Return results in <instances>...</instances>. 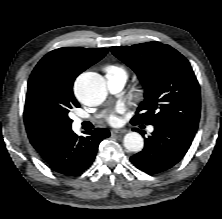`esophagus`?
<instances>
[{
    "instance_id": "esophagus-1",
    "label": "esophagus",
    "mask_w": 222,
    "mask_h": 219,
    "mask_svg": "<svg viewBox=\"0 0 222 219\" xmlns=\"http://www.w3.org/2000/svg\"><path fill=\"white\" fill-rule=\"evenodd\" d=\"M123 133H125V131H123V130H112L111 131V134L116 135V136L123 134Z\"/></svg>"
}]
</instances>
